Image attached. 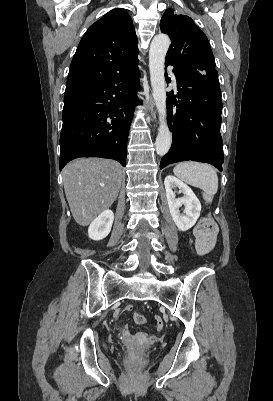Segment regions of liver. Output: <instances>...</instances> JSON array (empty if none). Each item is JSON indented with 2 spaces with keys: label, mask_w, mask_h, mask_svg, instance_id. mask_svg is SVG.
<instances>
[{
  "label": "liver",
  "mask_w": 273,
  "mask_h": 401,
  "mask_svg": "<svg viewBox=\"0 0 273 401\" xmlns=\"http://www.w3.org/2000/svg\"><path fill=\"white\" fill-rule=\"evenodd\" d=\"M62 174L70 211L78 225L87 227L114 203L123 168L111 158H76L66 164Z\"/></svg>",
  "instance_id": "6515ba94"
}]
</instances>
